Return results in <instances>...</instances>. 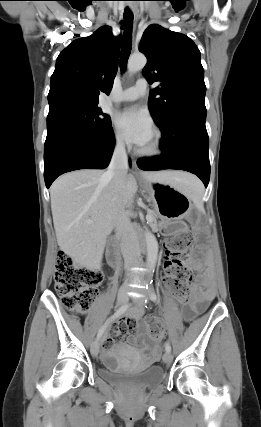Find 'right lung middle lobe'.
I'll list each match as a JSON object with an SVG mask.
<instances>
[{"label": "right lung middle lobe", "mask_w": 261, "mask_h": 427, "mask_svg": "<svg viewBox=\"0 0 261 427\" xmlns=\"http://www.w3.org/2000/svg\"><path fill=\"white\" fill-rule=\"evenodd\" d=\"M63 127L99 133L111 128V119L97 104H67L50 109L47 131Z\"/></svg>", "instance_id": "1"}]
</instances>
